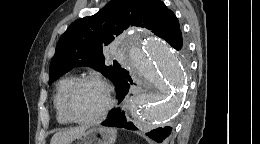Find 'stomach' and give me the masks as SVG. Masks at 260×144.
Segmentation results:
<instances>
[{
  "label": "stomach",
  "instance_id": "stomach-1",
  "mask_svg": "<svg viewBox=\"0 0 260 144\" xmlns=\"http://www.w3.org/2000/svg\"><path fill=\"white\" fill-rule=\"evenodd\" d=\"M116 130L108 127H93L73 139L69 144H114Z\"/></svg>",
  "mask_w": 260,
  "mask_h": 144
}]
</instances>
